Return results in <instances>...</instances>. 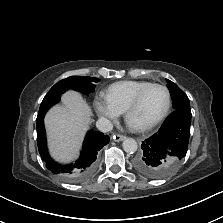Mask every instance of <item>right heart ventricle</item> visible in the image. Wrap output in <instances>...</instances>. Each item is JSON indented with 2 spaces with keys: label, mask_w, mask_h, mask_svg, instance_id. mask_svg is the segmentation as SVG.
<instances>
[{
  "label": "right heart ventricle",
  "mask_w": 223,
  "mask_h": 223,
  "mask_svg": "<svg viewBox=\"0 0 223 223\" xmlns=\"http://www.w3.org/2000/svg\"><path fill=\"white\" fill-rule=\"evenodd\" d=\"M151 84L143 80L119 81L107 88L105 96L120 112H124L134 97Z\"/></svg>",
  "instance_id": "1"
}]
</instances>
